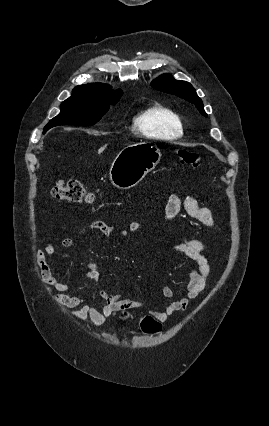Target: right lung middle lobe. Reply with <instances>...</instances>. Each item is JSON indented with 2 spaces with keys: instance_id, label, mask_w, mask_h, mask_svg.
Here are the masks:
<instances>
[{
  "instance_id": "1",
  "label": "right lung middle lobe",
  "mask_w": 269,
  "mask_h": 426,
  "mask_svg": "<svg viewBox=\"0 0 269 426\" xmlns=\"http://www.w3.org/2000/svg\"><path fill=\"white\" fill-rule=\"evenodd\" d=\"M120 98L72 95L61 104V112L44 129L59 125H94Z\"/></svg>"
}]
</instances>
